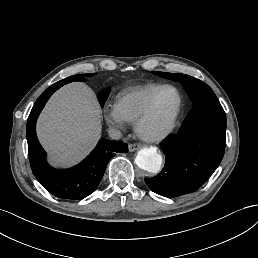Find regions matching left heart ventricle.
Here are the masks:
<instances>
[{
	"instance_id": "b2bd125f",
	"label": "left heart ventricle",
	"mask_w": 258,
	"mask_h": 258,
	"mask_svg": "<svg viewBox=\"0 0 258 258\" xmlns=\"http://www.w3.org/2000/svg\"><path fill=\"white\" fill-rule=\"evenodd\" d=\"M177 106L176 94L172 90L161 92L150 115L141 124V130L150 136L160 134L171 122Z\"/></svg>"
}]
</instances>
